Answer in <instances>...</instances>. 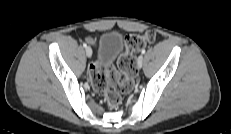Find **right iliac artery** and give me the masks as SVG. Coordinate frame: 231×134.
Returning a JSON list of instances; mask_svg holds the SVG:
<instances>
[{"label": "right iliac artery", "instance_id": "obj_1", "mask_svg": "<svg viewBox=\"0 0 231 134\" xmlns=\"http://www.w3.org/2000/svg\"><path fill=\"white\" fill-rule=\"evenodd\" d=\"M83 47H85V48H86V47H87V44H86V43H83Z\"/></svg>", "mask_w": 231, "mask_h": 134}]
</instances>
